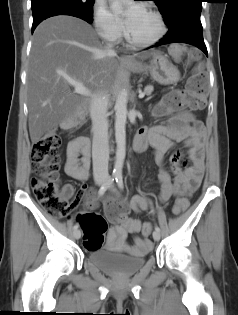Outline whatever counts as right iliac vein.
Returning <instances> with one entry per match:
<instances>
[{"label":"right iliac vein","mask_w":238,"mask_h":315,"mask_svg":"<svg viewBox=\"0 0 238 315\" xmlns=\"http://www.w3.org/2000/svg\"><path fill=\"white\" fill-rule=\"evenodd\" d=\"M96 183H97L98 185H101V184L103 183V180H102V179H99V180L96 181ZM74 237H75V239H79V238L81 237V231L78 230V229H76V230L74 231Z\"/></svg>","instance_id":"right-iliac-vein-1"}]
</instances>
